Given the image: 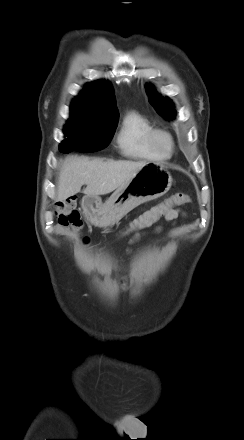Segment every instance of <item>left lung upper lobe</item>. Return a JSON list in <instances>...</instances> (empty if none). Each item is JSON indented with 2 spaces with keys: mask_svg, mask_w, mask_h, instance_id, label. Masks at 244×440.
I'll use <instances>...</instances> for the list:
<instances>
[{
  "mask_svg": "<svg viewBox=\"0 0 244 440\" xmlns=\"http://www.w3.org/2000/svg\"><path fill=\"white\" fill-rule=\"evenodd\" d=\"M146 90L149 94L150 103L162 117L170 120L176 116V111L170 100L160 96L151 85H148Z\"/></svg>",
  "mask_w": 244,
  "mask_h": 440,
  "instance_id": "1",
  "label": "left lung upper lobe"
}]
</instances>
